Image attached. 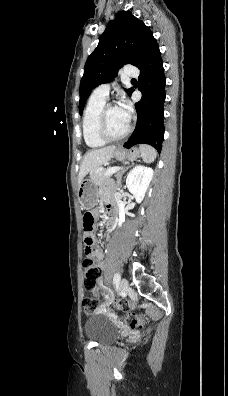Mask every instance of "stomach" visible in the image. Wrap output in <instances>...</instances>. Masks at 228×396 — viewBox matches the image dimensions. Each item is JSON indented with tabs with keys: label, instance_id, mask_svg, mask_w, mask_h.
<instances>
[{
	"label": "stomach",
	"instance_id": "stomach-1",
	"mask_svg": "<svg viewBox=\"0 0 228 396\" xmlns=\"http://www.w3.org/2000/svg\"><path fill=\"white\" fill-rule=\"evenodd\" d=\"M139 156L140 151L137 148H132L128 151L122 148H118L113 152V157L118 160H134ZM77 196L78 201L83 209L90 210L94 208L98 201L97 185L94 184L90 178L83 179L78 186Z\"/></svg>",
	"mask_w": 228,
	"mask_h": 396
}]
</instances>
